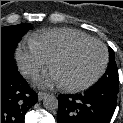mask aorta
Masks as SVG:
<instances>
[{
    "label": "aorta",
    "instance_id": "obj_1",
    "mask_svg": "<svg viewBox=\"0 0 123 123\" xmlns=\"http://www.w3.org/2000/svg\"><path fill=\"white\" fill-rule=\"evenodd\" d=\"M43 105L47 110H55L58 108V99L52 94H47L43 99Z\"/></svg>",
    "mask_w": 123,
    "mask_h": 123
}]
</instances>
